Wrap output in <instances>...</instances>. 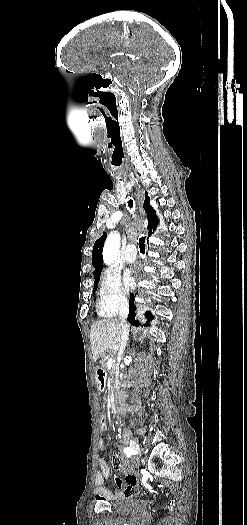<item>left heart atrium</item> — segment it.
<instances>
[{
    "label": "left heart atrium",
    "instance_id": "1",
    "mask_svg": "<svg viewBox=\"0 0 247 525\" xmlns=\"http://www.w3.org/2000/svg\"><path fill=\"white\" fill-rule=\"evenodd\" d=\"M134 258L135 257H133V259H132L134 261H143L142 259H134ZM144 274H145V272H130V270L128 269L127 272L125 273V283H126L127 287H130L135 282L142 280L143 277H144Z\"/></svg>",
    "mask_w": 247,
    "mask_h": 525
}]
</instances>
